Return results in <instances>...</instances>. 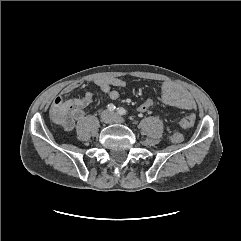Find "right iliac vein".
<instances>
[{"label": "right iliac vein", "instance_id": "right-iliac-vein-1", "mask_svg": "<svg viewBox=\"0 0 241 241\" xmlns=\"http://www.w3.org/2000/svg\"><path fill=\"white\" fill-rule=\"evenodd\" d=\"M113 117L110 113H104L103 115V121L105 123H110L112 121Z\"/></svg>", "mask_w": 241, "mask_h": 241}]
</instances>
